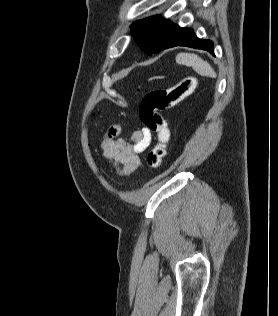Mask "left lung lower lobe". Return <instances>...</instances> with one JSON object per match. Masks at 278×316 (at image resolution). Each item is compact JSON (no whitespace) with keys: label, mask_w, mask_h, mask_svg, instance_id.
Masks as SVG:
<instances>
[{"label":"left lung lower lobe","mask_w":278,"mask_h":316,"mask_svg":"<svg viewBox=\"0 0 278 316\" xmlns=\"http://www.w3.org/2000/svg\"><path fill=\"white\" fill-rule=\"evenodd\" d=\"M176 46H187L191 48L203 49L214 55L213 43L210 40L199 39L192 29L180 28L177 30L171 41L165 46L164 49Z\"/></svg>","instance_id":"0a47b994"}]
</instances>
